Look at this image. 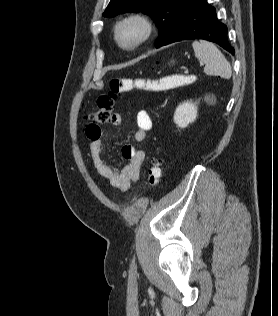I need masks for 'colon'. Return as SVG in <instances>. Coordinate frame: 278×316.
I'll return each instance as SVG.
<instances>
[{
    "label": "colon",
    "instance_id": "obj_1",
    "mask_svg": "<svg viewBox=\"0 0 278 316\" xmlns=\"http://www.w3.org/2000/svg\"><path fill=\"white\" fill-rule=\"evenodd\" d=\"M194 80L195 77L192 75L171 76L163 80L114 78L109 83V91L98 97L97 110L89 112L86 115V119L89 122L87 127L98 129L100 124H104L110 120L115 107L116 96L120 93L129 92L133 89L159 91L172 85H190ZM162 171V164L159 161L153 162L147 171V181L150 186L156 187L159 185Z\"/></svg>",
    "mask_w": 278,
    "mask_h": 316
}]
</instances>
